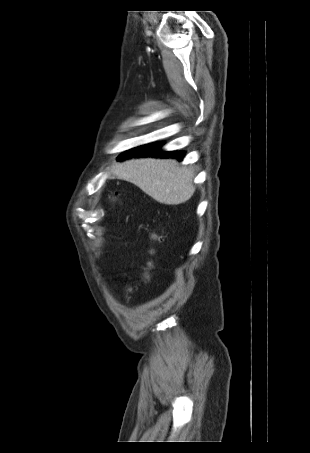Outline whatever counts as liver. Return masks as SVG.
Masks as SVG:
<instances>
[{
    "mask_svg": "<svg viewBox=\"0 0 310 453\" xmlns=\"http://www.w3.org/2000/svg\"><path fill=\"white\" fill-rule=\"evenodd\" d=\"M112 172L167 205L184 203L195 192L194 172L172 159H132L116 165Z\"/></svg>",
    "mask_w": 310,
    "mask_h": 453,
    "instance_id": "1",
    "label": "liver"
}]
</instances>
